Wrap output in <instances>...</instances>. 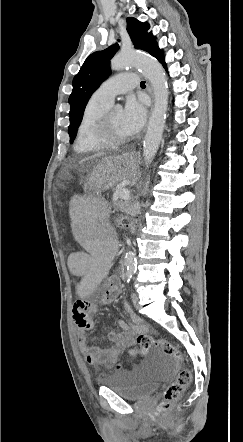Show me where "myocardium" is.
Segmentation results:
<instances>
[{"instance_id": "myocardium-1", "label": "myocardium", "mask_w": 243, "mask_h": 442, "mask_svg": "<svg viewBox=\"0 0 243 442\" xmlns=\"http://www.w3.org/2000/svg\"><path fill=\"white\" fill-rule=\"evenodd\" d=\"M110 115L111 110L105 111L96 122L94 137L97 142L105 147H116L127 143L131 136L125 138H114L110 135Z\"/></svg>"}]
</instances>
